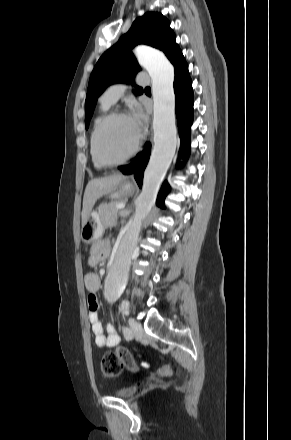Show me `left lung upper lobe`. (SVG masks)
Segmentation results:
<instances>
[{
    "mask_svg": "<svg viewBox=\"0 0 291 440\" xmlns=\"http://www.w3.org/2000/svg\"><path fill=\"white\" fill-rule=\"evenodd\" d=\"M138 44H147L162 50L171 63L182 54L169 20L161 13L147 12L137 18L129 31L101 55L91 73L85 101L86 129L97 98L104 89L114 83L131 82L140 71V66L132 54V48ZM136 92L142 94V88L136 86Z\"/></svg>",
    "mask_w": 291,
    "mask_h": 440,
    "instance_id": "5c2ea615",
    "label": "left lung upper lobe"
}]
</instances>
